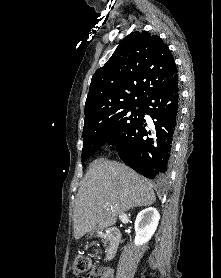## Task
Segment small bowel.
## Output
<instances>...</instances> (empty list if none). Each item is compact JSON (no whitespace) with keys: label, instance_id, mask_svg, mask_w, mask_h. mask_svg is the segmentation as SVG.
I'll return each mask as SVG.
<instances>
[{"label":"small bowel","instance_id":"1","mask_svg":"<svg viewBox=\"0 0 221 278\" xmlns=\"http://www.w3.org/2000/svg\"><path fill=\"white\" fill-rule=\"evenodd\" d=\"M85 278H113V270L109 267H94Z\"/></svg>","mask_w":221,"mask_h":278}]
</instances>
